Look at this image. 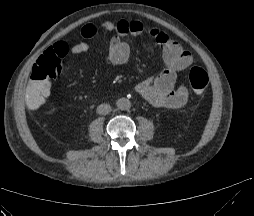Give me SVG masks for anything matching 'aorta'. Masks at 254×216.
Listing matches in <instances>:
<instances>
[{
    "label": "aorta",
    "instance_id": "1",
    "mask_svg": "<svg viewBox=\"0 0 254 216\" xmlns=\"http://www.w3.org/2000/svg\"><path fill=\"white\" fill-rule=\"evenodd\" d=\"M117 108L120 110H128L131 107V102L127 98H119L116 102Z\"/></svg>",
    "mask_w": 254,
    "mask_h": 216
}]
</instances>
